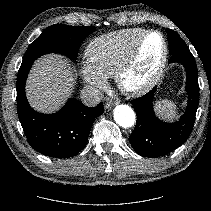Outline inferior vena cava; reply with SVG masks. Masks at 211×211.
Instances as JSON below:
<instances>
[{
  "label": "inferior vena cava",
  "instance_id": "obj_1",
  "mask_svg": "<svg viewBox=\"0 0 211 211\" xmlns=\"http://www.w3.org/2000/svg\"><path fill=\"white\" fill-rule=\"evenodd\" d=\"M80 97L86 106L94 107L100 103L103 93L92 86H85L81 90Z\"/></svg>",
  "mask_w": 211,
  "mask_h": 211
}]
</instances>
